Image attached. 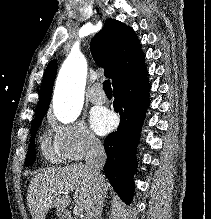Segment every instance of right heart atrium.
<instances>
[{"instance_id":"obj_1","label":"right heart atrium","mask_w":211,"mask_h":219,"mask_svg":"<svg viewBox=\"0 0 211 219\" xmlns=\"http://www.w3.org/2000/svg\"><path fill=\"white\" fill-rule=\"evenodd\" d=\"M53 145L61 157L76 162L102 151L101 141L82 121L62 124L49 118Z\"/></svg>"}]
</instances>
